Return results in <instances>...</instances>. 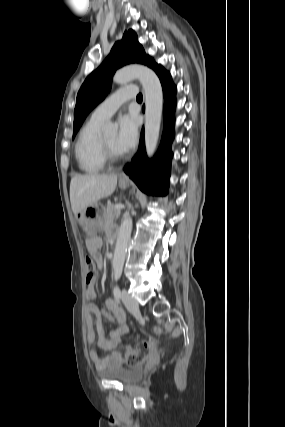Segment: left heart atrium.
I'll return each instance as SVG.
<instances>
[{
    "instance_id": "1",
    "label": "left heart atrium",
    "mask_w": 285,
    "mask_h": 427,
    "mask_svg": "<svg viewBox=\"0 0 285 427\" xmlns=\"http://www.w3.org/2000/svg\"><path fill=\"white\" fill-rule=\"evenodd\" d=\"M118 124L119 129L116 136V145L122 153H126L130 151L137 142L138 123L135 116L125 114L119 118Z\"/></svg>"
}]
</instances>
